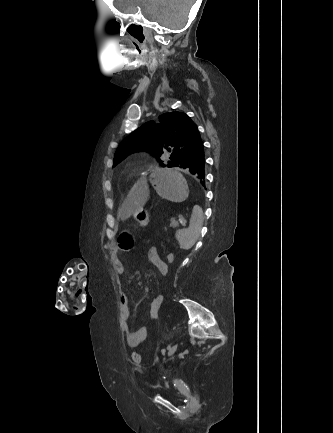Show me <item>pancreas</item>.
<instances>
[{
  "instance_id": "1",
  "label": "pancreas",
  "mask_w": 333,
  "mask_h": 433,
  "mask_svg": "<svg viewBox=\"0 0 333 433\" xmlns=\"http://www.w3.org/2000/svg\"><path fill=\"white\" fill-rule=\"evenodd\" d=\"M170 226L172 228H176V227L179 226V223L177 221H175L174 219H172L171 222H170Z\"/></svg>"
}]
</instances>
